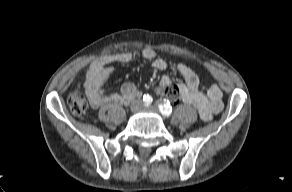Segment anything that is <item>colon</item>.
<instances>
[{
  "mask_svg": "<svg viewBox=\"0 0 292 192\" xmlns=\"http://www.w3.org/2000/svg\"><path fill=\"white\" fill-rule=\"evenodd\" d=\"M157 93L173 102L178 101V95L173 88L160 86L157 88ZM67 102L71 112L75 115L83 114L88 107L86 96L79 88L69 93Z\"/></svg>",
  "mask_w": 292,
  "mask_h": 192,
  "instance_id": "1",
  "label": "colon"
}]
</instances>
